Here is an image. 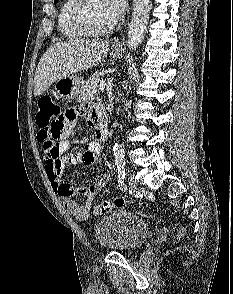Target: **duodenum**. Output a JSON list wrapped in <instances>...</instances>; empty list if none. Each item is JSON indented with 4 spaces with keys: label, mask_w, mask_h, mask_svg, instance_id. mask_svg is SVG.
Segmentation results:
<instances>
[{
    "label": "duodenum",
    "mask_w": 233,
    "mask_h": 294,
    "mask_svg": "<svg viewBox=\"0 0 233 294\" xmlns=\"http://www.w3.org/2000/svg\"><path fill=\"white\" fill-rule=\"evenodd\" d=\"M95 132L98 140L103 141L107 137V117L102 107L95 108Z\"/></svg>",
    "instance_id": "1"
}]
</instances>
